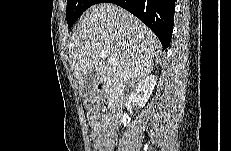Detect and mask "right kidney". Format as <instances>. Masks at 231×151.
Listing matches in <instances>:
<instances>
[{"mask_svg": "<svg viewBox=\"0 0 231 151\" xmlns=\"http://www.w3.org/2000/svg\"><path fill=\"white\" fill-rule=\"evenodd\" d=\"M157 83V78L154 75L146 76L136 87L135 101L139 107H144L148 99L152 95L153 89ZM131 118L127 113L123 114L122 123L124 127L130 124Z\"/></svg>", "mask_w": 231, "mask_h": 151, "instance_id": "ca27d5eb", "label": "right kidney"}]
</instances>
